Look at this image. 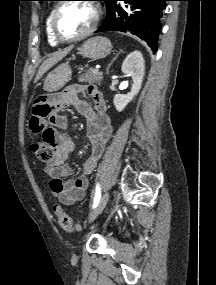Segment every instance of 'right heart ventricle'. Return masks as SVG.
Listing matches in <instances>:
<instances>
[{
	"label": "right heart ventricle",
	"instance_id": "obj_1",
	"mask_svg": "<svg viewBox=\"0 0 216 285\" xmlns=\"http://www.w3.org/2000/svg\"><path fill=\"white\" fill-rule=\"evenodd\" d=\"M54 9H55L54 7L50 9L46 17V21H45V30H46L47 40L49 44L52 46H56L59 44V42L53 37L52 32H51V26H50L51 17H52Z\"/></svg>",
	"mask_w": 216,
	"mask_h": 285
}]
</instances>
